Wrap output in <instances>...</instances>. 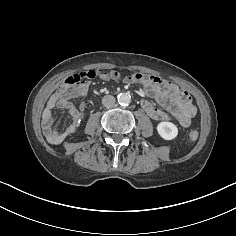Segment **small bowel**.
<instances>
[{"mask_svg":"<svg viewBox=\"0 0 236 236\" xmlns=\"http://www.w3.org/2000/svg\"><path fill=\"white\" fill-rule=\"evenodd\" d=\"M94 71L75 73L63 80L58 90L49 98L42 113V129L47 141L51 144H59L72 135L79 127L83 118V111L91 105L88 100L83 101L79 108L72 105V100L83 98L89 90V83L85 80L75 81L81 74L84 78H92ZM106 78V77H104ZM126 83H141L146 93L153 96L163 107H156L151 101L144 99L141 102L142 109L156 121L175 119L182 127H188L196 114V108L189 94L172 84L168 80L158 76H142L133 82L125 78ZM63 109L71 118V122L62 128L53 127V110Z\"/></svg>","mask_w":236,"mask_h":236,"instance_id":"small-bowel-1","label":"small bowel"}]
</instances>
